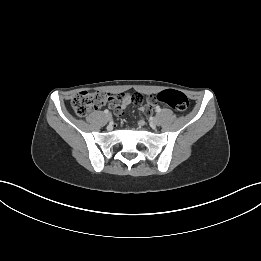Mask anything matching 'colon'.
Masks as SVG:
<instances>
[{"label":"colon","mask_w":261,"mask_h":261,"mask_svg":"<svg viewBox=\"0 0 261 261\" xmlns=\"http://www.w3.org/2000/svg\"><path fill=\"white\" fill-rule=\"evenodd\" d=\"M119 99V95H111L103 91H82L73 97L71 105L77 115L85 116L92 110L106 103L119 101ZM156 99L179 113H185L188 108L187 97L176 90L161 91L157 94Z\"/></svg>","instance_id":"5ec220e1"}]
</instances>
